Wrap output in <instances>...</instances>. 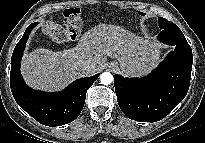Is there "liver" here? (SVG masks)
I'll return each mask as SVG.
<instances>
[{"mask_svg":"<svg viewBox=\"0 0 205 143\" xmlns=\"http://www.w3.org/2000/svg\"><path fill=\"white\" fill-rule=\"evenodd\" d=\"M159 46L117 25L99 24L85 32L70 49L53 52L37 48L25 53L21 72L25 82L34 89L56 91L83 74V62L102 70L107 56L120 62L127 75L143 74L158 60Z\"/></svg>","mask_w":205,"mask_h":143,"instance_id":"obj_1","label":"liver"}]
</instances>
